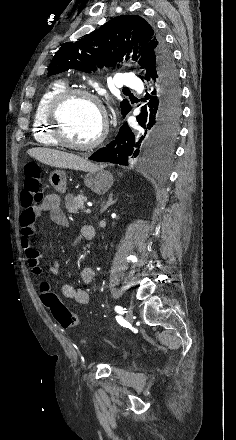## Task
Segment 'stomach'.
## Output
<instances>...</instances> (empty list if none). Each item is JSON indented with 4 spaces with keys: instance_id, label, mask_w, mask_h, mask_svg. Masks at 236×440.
Wrapping results in <instances>:
<instances>
[{
    "instance_id": "obj_1",
    "label": "stomach",
    "mask_w": 236,
    "mask_h": 440,
    "mask_svg": "<svg viewBox=\"0 0 236 440\" xmlns=\"http://www.w3.org/2000/svg\"><path fill=\"white\" fill-rule=\"evenodd\" d=\"M49 182L59 193L66 192V172L54 170L49 175ZM85 185L97 194L106 193L113 185L112 174L102 167H96L88 171L84 177Z\"/></svg>"
}]
</instances>
